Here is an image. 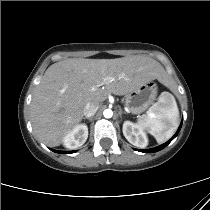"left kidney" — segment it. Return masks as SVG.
I'll use <instances>...</instances> for the list:
<instances>
[{
    "label": "left kidney",
    "mask_w": 210,
    "mask_h": 210,
    "mask_svg": "<svg viewBox=\"0 0 210 210\" xmlns=\"http://www.w3.org/2000/svg\"><path fill=\"white\" fill-rule=\"evenodd\" d=\"M123 134L128 142L134 146L144 148L148 145L146 133L138 124L125 121L123 123Z\"/></svg>",
    "instance_id": "1"
}]
</instances>
